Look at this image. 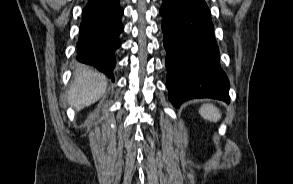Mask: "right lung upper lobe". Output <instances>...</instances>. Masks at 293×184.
Segmentation results:
<instances>
[{
  "label": "right lung upper lobe",
  "instance_id": "right-lung-upper-lobe-1",
  "mask_svg": "<svg viewBox=\"0 0 293 184\" xmlns=\"http://www.w3.org/2000/svg\"><path fill=\"white\" fill-rule=\"evenodd\" d=\"M107 1H109V0H89V2H92V3H104Z\"/></svg>",
  "mask_w": 293,
  "mask_h": 184
}]
</instances>
